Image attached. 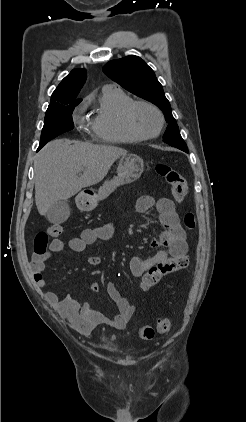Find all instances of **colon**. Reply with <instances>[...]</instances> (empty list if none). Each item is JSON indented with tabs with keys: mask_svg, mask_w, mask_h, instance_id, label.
<instances>
[{
	"mask_svg": "<svg viewBox=\"0 0 246 422\" xmlns=\"http://www.w3.org/2000/svg\"><path fill=\"white\" fill-rule=\"evenodd\" d=\"M156 173L162 177L170 186L171 193L176 200L185 197L188 191V185L185 178L175 169L167 164H157ZM184 225L187 229L195 228V216L193 213H187L184 216ZM63 231L59 224L50 225L45 231L37 233L34 239V252L37 255H44L48 246V237L59 236ZM187 256H180L167 259L156 266L150 268L143 276L141 287L143 290H149L159 283V281L168 274L182 270L188 265ZM171 329V322L165 317H160L156 321V330L158 333L165 334ZM138 334L142 339H151L154 337L155 330L151 326H141Z\"/></svg>",
	"mask_w": 246,
	"mask_h": 422,
	"instance_id": "obj_1",
	"label": "colon"
}]
</instances>
